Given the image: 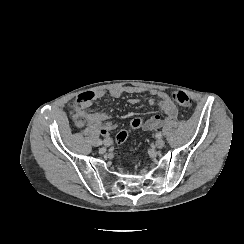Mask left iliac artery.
<instances>
[{"mask_svg":"<svg viewBox=\"0 0 244 244\" xmlns=\"http://www.w3.org/2000/svg\"><path fill=\"white\" fill-rule=\"evenodd\" d=\"M156 137L157 138H161L162 137V134L161 133H156Z\"/></svg>","mask_w":244,"mask_h":244,"instance_id":"left-iliac-artery-1","label":"left iliac artery"}]
</instances>
